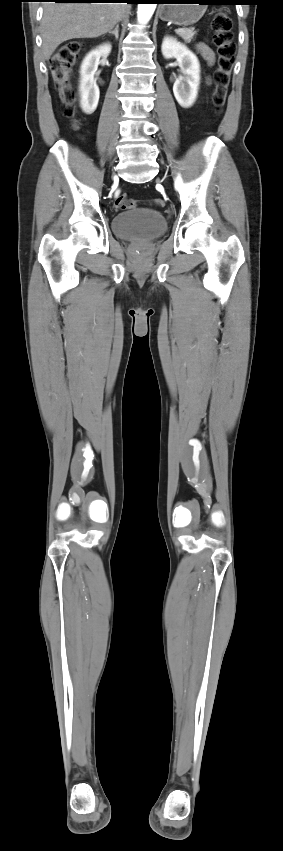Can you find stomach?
Listing matches in <instances>:
<instances>
[{
	"mask_svg": "<svg viewBox=\"0 0 283 851\" xmlns=\"http://www.w3.org/2000/svg\"><path fill=\"white\" fill-rule=\"evenodd\" d=\"M207 2L208 0H170L160 6L159 17L177 25L194 24L204 15Z\"/></svg>",
	"mask_w": 283,
	"mask_h": 851,
	"instance_id": "1",
	"label": "stomach"
}]
</instances>
